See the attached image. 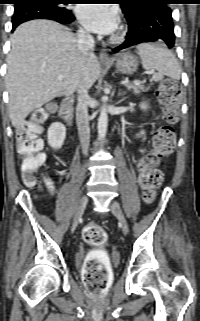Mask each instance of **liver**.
<instances>
[{
    "mask_svg": "<svg viewBox=\"0 0 200 321\" xmlns=\"http://www.w3.org/2000/svg\"><path fill=\"white\" fill-rule=\"evenodd\" d=\"M7 65L5 82L14 127L54 98L70 96L82 84L91 87L100 73L95 54H82L67 27L43 19L28 21L15 30ZM60 75L63 80H58Z\"/></svg>",
    "mask_w": 200,
    "mask_h": 321,
    "instance_id": "1",
    "label": "liver"
}]
</instances>
